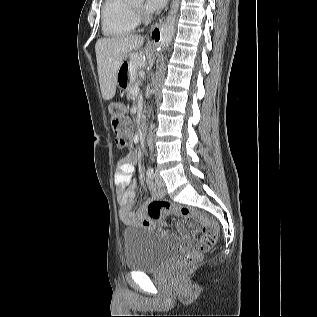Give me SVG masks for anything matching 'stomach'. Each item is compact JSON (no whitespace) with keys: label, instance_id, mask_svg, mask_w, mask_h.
Here are the masks:
<instances>
[{"label":"stomach","instance_id":"1","mask_svg":"<svg viewBox=\"0 0 317 317\" xmlns=\"http://www.w3.org/2000/svg\"><path fill=\"white\" fill-rule=\"evenodd\" d=\"M142 62H144V55H124V59H122V63L117 70L118 77L114 83L116 94H127L126 88L130 86V83L135 82L136 79L133 75L138 74Z\"/></svg>","mask_w":317,"mask_h":317}]
</instances>
